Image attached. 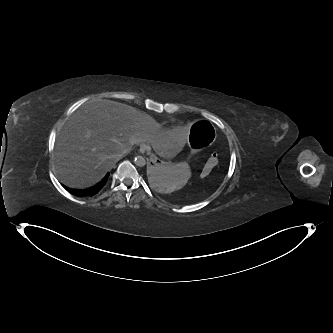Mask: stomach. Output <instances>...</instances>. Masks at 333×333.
<instances>
[{"label": "stomach", "instance_id": "0dacf381", "mask_svg": "<svg viewBox=\"0 0 333 333\" xmlns=\"http://www.w3.org/2000/svg\"><path fill=\"white\" fill-rule=\"evenodd\" d=\"M189 147L192 153H197L213 145L216 140L214 126L205 120L195 122L191 127ZM147 176L150 183L159 192L174 193L179 191L184 185L189 184L194 176L192 168L184 163L174 162L165 164L157 157L147 167Z\"/></svg>", "mask_w": 333, "mask_h": 333}]
</instances>
